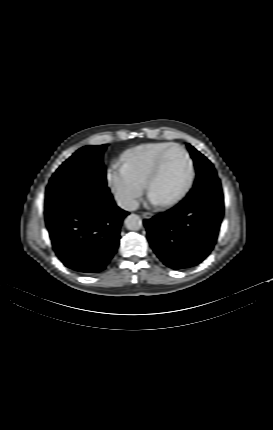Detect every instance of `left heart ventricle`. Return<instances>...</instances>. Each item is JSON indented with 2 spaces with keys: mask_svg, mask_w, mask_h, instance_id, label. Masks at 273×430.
Here are the masks:
<instances>
[{
  "mask_svg": "<svg viewBox=\"0 0 273 430\" xmlns=\"http://www.w3.org/2000/svg\"><path fill=\"white\" fill-rule=\"evenodd\" d=\"M188 175V163L179 149L169 151L162 163L161 171L151 185L149 194L159 203L175 196L184 185Z\"/></svg>",
  "mask_w": 273,
  "mask_h": 430,
  "instance_id": "b2bd125f",
  "label": "left heart ventricle"
}]
</instances>
